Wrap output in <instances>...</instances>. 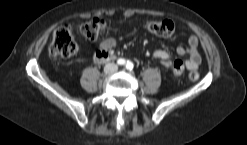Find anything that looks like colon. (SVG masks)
Returning <instances> with one entry per match:
<instances>
[{
  "label": "colon",
  "instance_id": "obj_1",
  "mask_svg": "<svg viewBox=\"0 0 247 145\" xmlns=\"http://www.w3.org/2000/svg\"><path fill=\"white\" fill-rule=\"evenodd\" d=\"M146 29L157 36L170 37L175 31V25L171 20H149L146 22ZM106 22L101 17L92 18L84 22L80 31L84 37L90 40H96L104 35ZM77 51V43L74 38L73 30L69 25L58 27L52 37L49 52L53 57L67 58L74 55ZM185 64L182 60H175L172 63L173 72L179 76L184 71ZM188 78L196 81L199 75L196 71L189 73Z\"/></svg>",
  "mask_w": 247,
  "mask_h": 145
}]
</instances>
